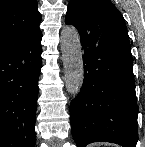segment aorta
<instances>
[{
	"mask_svg": "<svg viewBox=\"0 0 145 147\" xmlns=\"http://www.w3.org/2000/svg\"><path fill=\"white\" fill-rule=\"evenodd\" d=\"M60 40L66 89L70 94L76 95L82 87L84 78L82 49L78 31L74 27L65 26L61 31Z\"/></svg>",
	"mask_w": 145,
	"mask_h": 147,
	"instance_id": "aorta-1",
	"label": "aorta"
}]
</instances>
